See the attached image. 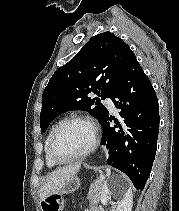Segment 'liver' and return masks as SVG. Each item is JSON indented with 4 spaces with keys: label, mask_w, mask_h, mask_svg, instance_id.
<instances>
[{
    "label": "liver",
    "mask_w": 179,
    "mask_h": 211,
    "mask_svg": "<svg viewBox=\"0 0 179 211\" xmlns=\"http://www.w3.org/2000/svg\"><path fill=\"white\" fill-rule=\"evenodd\" d=\"M80 166V163H76L52 172L40 189V200L43 201L60 191L69 179L77 174Z\"/></svg>",
    "instance_id": "obj_1"
}]
</instances>
